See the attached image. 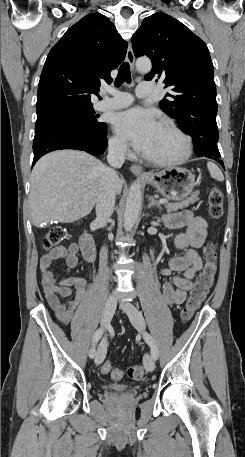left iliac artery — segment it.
Listing matches in <instances>:
<instances>
[{"instance_id":"obj_1","label":"left iliac artery","mask_w":245,"mask_h":457,"mask_svg":"<svg viewBox=\"0 0 245 457\" xmlns=\"http://www.w3.org/2000/svg\"><path fill=\"white\" fill-rule=\"evenodd\" d=\"M144 339L146 341V343L150 346L151 348V356L154 358V359H157L158 356H159V352H158V348L156 346V343H155V340L153 339V337L146 333L144 335Z\"/></svg>"}]
</instances>
